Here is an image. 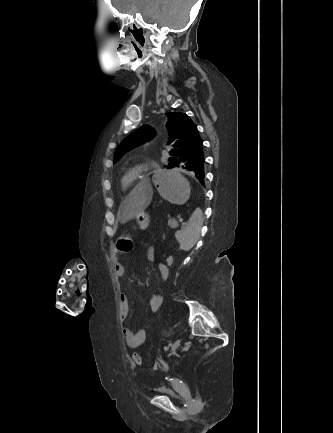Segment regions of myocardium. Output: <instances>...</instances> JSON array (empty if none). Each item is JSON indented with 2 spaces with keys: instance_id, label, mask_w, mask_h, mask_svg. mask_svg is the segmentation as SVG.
<instances>
[{
  "instance_id": "obj_1",
  "label": "myocardium",
  "mask_w": 333,
  "mask_h": 433,
  "mask_svg": "<svg viewBox=\"0 0 333 433\" xmlns=\"http://www.w3.org/2000/svg\"><path fill=\"white\" fill-rule=\"evenodd\" d=\"M142 170H143V167H142V166H135V167L129 168V169L127 170V172L125 173V175L122 177V179H126L127 181H128V180H131L130 178H131L134 174L141 173ZM128 184H129V181H128Z\"/></svg>"
}]
</instances>
